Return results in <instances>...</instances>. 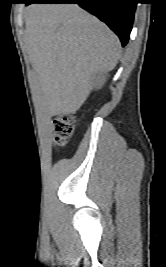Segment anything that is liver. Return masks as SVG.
Listing matches in <instances>:
<instances>
[{
	"mask_svg": "<svg viewBox=\"0 0 166 267\" xmlns=\"http://www.w3.org/2000/svg\"><path fill=\"white\" fill-rule=\"evenodd\" d=\"M25 43L50 115L75 113L93 76L120 58L118 37L76 4H36L27 9Z\"/></svg>",
	"mask_w": 166,
	"mask_h": 267,
	"instance_id": "1",
	"label": "liver"
}]
</instances>
